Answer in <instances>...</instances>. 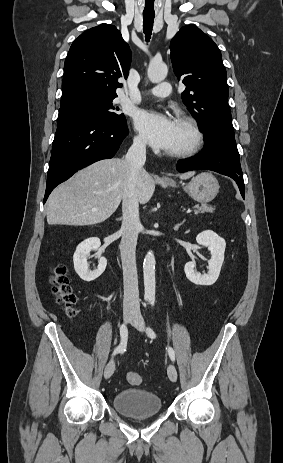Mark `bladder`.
Here are the masks:
<instances>
[{
  "label": "bladder",
  "mask_w": 283,
  "mask_h": 463,
  "mask_svg": "<svg viewBox=\"0 0 283 463\" xmlns=\"http://www.w3.org/2000/svg\"><path fill=\"white\" fill-rule=\"evenodd\" d=\"M114 409L127 418H147L159 414L163 403L160 397L143 389H124L112 398Z\"/></svg>",
  "instance_id": "1"
}]
</instances>
